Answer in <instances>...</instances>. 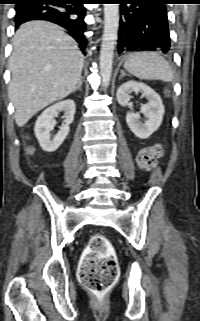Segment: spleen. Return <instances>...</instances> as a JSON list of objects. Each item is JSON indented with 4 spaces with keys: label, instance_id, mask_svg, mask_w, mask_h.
<instances>
[{
    "label": "spleen",
    "instance_id": "1",
    "mask_svg": "<svg viewBox=\"0 0 200 321\" xmlns=\"http://www.w3.org/2000/svg\"><path fill=\"white\" fill-rule=\"evenodd\" d=\"M124 68L142 80L170 82L174 79L169 62L156 52L132 53L127 57Z\"/></svg>",
    "mask_w": 200,
    "mask_h": 321
}]
</instances>
